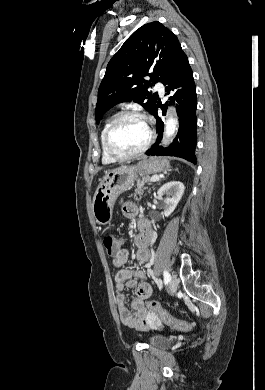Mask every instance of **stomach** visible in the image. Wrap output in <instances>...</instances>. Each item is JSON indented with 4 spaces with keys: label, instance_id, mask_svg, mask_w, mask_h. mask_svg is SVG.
Returning a JSON list of instances; mask_svg holds the SVG:
<instances>
[{
    "label": "stomach",
    "instance_id": "obj_1",
    "mask_svg": "<svg viewBox=\"0 0 265 390\" xmlns=\"http://www.w3.org/2000/svg\"><path fill=\"white\" fill-rule=\"evenodd\" d=\"M169 161L165 158H144L135 166H122L106 174L98 185L93 198V214L100 225L109 224L113 207L120 194L134 185L138 175H149L168 170Z\"/></svg>",
    "mask_w": 265,
    "mask_h": 390
}]
</instances>
